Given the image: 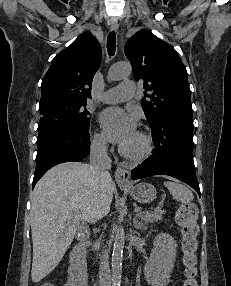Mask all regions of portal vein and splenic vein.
<instances>
[{"label":"portal vein and splenic vein","instance_id":"18ae733b","mask_svg":"<svg viewBox=\"0 0 231 286\" xmlns=\"http://www.w3.org/2000/svg\"><path fill=\"white\" fill-rule=\"evenodd\" d=\"M142 209L140 208V207H136L135 209H134V211L135 212H140Z\"/></svg>","mask_w":231,"mask_h":286}]
</instances>
